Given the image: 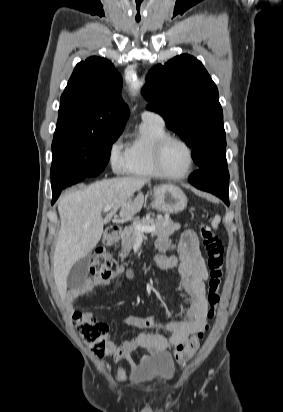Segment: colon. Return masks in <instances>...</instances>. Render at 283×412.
I'll list each match as a JSON object with an SVG mask.
<instances>
[{
  "label": "colon",
  "instance_id": "obj_1",
  "mask_svg": "<svg viewBox=\"0 0 283 412\" xmlns=\"http://www.w3.org/2000/svg\"><path fill=\"white\" fill-rule=\"evenodd\" d=\"M200 236L208 255L209 281L207 292L209 319H213L220 301V287L225 263L224 246L216 233L208 226H201ZM113 273L112 261L108 252L99 247L91 260L90 274L96 279H106ZM74 327L79 333L84 344L98 357H102L107 351L109 327L93 317L86 316L83 312L73 314ZM209 329L207 324L204 330L197 333L194 340L190 341L187 350L194 349Z\"/></svg>",
  "mask_w": 283,
  "mask_h": 412
}]
</instances>
